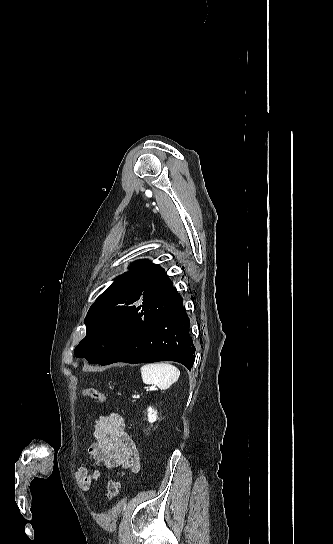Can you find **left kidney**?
<instances>
[{"instance_id": "1", "label": "left kidney", "mask_w": 333, "mask_h": 544, "mask_svg": "<svg viewBox=\"0 0 333 544\" xmlns=\"http://www.w3.org/2000/svg\"><path fill=\"white\" fill-rule=\"evenodd\" d=\"M147 412H148V421H149L150 423H154V422L157 420V418H158V416H157V410H154L152 407H149V408L147 409Z\"/></svg>"}]
</instances>
